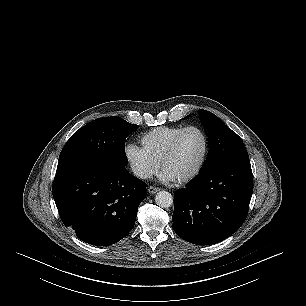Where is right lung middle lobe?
<instances>
[{"mask_svg": "<svg viewBox=\"0 0 306 306\" xmlns=\"http://www.w3.org/2000/svg\"><path fill=\"white\" fill-rule=\"evenodd\" d=\"M138 125L112 116L91 121L77 130L63 147L56 175L83 164L127 165L125 140Z\"/></svg>", "mask_w": 306, "mask_h": 306, "instance_id": "dd1d6c3e", "label": "right lung middle lobe"}]
</instances>
